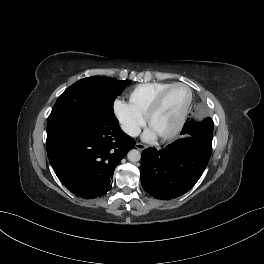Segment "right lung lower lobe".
<instances>
[{"label": "right lung lower lobe", "mask_w": 264, "mask_h": 264, "mask_svg": "<svg viewBox=\"0 0 264 264\" xmlns=\"http://www.w3.org/2000/svg\"><path fill=\"white\" fill-rule=\"evenodd\" d=\"M49 161L62 184L82 198H96L112 187L115 167L135 141L115 117L76 115L47 132Z\"/></svg>", "instance_id": "right-lung-lower-lobe-1"}]
</instances>
